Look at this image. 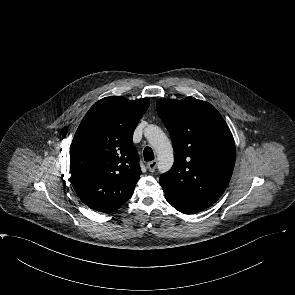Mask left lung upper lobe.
I'll return each instance as SVG.
<instances>
[{
    "label": "left lung upper lobe",
    "instance_id": "1",
    "mask_svg": "<svg viewBox=\"0 0 295 295\" xmlns=\"http://www.w3.org/2000/svg\"><path fill=\"white\" fill-rule=\"evenodd\" d=\"M156 108L174 148V164L159 179L167 201L185 214L210 207L224 193L234 169L229 127L214 106L194 97L157 100Z\"/></svg>",
    "mask_w": 295,
    "mask_h": 295
}]
</instances>
